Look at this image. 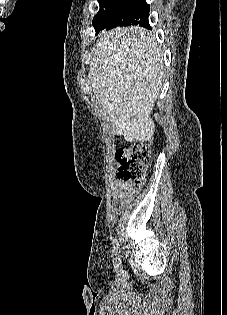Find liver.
<instances>
[{
    "label": "liver",
    "mask_w": 227,
    "mask_h": 315,
    "mask_svg": "<svg viewBox=\"0 0 227 315\" xmlns=\"http://www.w3.org/2000/svg\"><path fill=\"white\" fill-rule=\"evenodd\" d=\"M91 87L110 121L126 141H152L150 118L162 88V53L154 37L138 26L102 32L92 51Z\"/></svg>",
    "instance_id": "1"
}]
</instances>
